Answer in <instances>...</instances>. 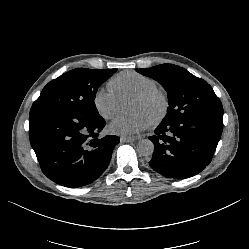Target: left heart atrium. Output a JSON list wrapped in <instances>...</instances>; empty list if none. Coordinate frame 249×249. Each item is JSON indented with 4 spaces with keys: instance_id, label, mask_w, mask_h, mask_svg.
I'll use <instances>...</instances> for the list:
<instances>
[{
    "instance_id": "obj_1",
    "label": "left heart atrium",
    "mask_w": 249,
    "mask_h": 249,
    "mask_svg": "<svg viewBox=\"0 0 249 249\" xmlns=\"http://www.w3.org/2000/svg\"><path fill=\"white\" fill-rule=\"evenodd\" d=\"M147 127L148 121L141 114L117 115L109 124L108 130L117 135L132 136L141 133Z\"/></svg>"
}]
</instances>
